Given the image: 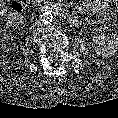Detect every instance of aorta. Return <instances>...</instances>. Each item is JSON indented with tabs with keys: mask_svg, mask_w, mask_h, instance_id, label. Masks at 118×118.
<instances>
[{
	"mask_svg": "<svg viewBox=\"0 0 118 118\" xmlns=\"http://www.w3.org/2000/svg\"><path fill=\"white\" fill-rule=\"evenodd\" d=\"M40 20L43 24H50L53 21V15L49 11H45L40 15Z\"/></svg>",
	"mask_w": 118,
	"mask_h": 118,
	"instance_id": "obj_1",
	"label": "aorta"
}]
</instances>
